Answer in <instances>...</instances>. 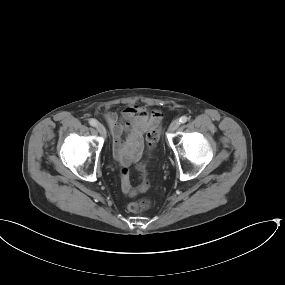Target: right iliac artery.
<instances>
[{"instance_id": "1", "label": "right iliac artery", "mask_w": 285, "mask_h": 285, "mask_svg": "<svg viewBox=\"0 0 285 285\" xmlns=\"http://www.w3.org/2000/svg\"><path fill=\"white\" fill-rule=\"evenodd\" d=\"M89 124H90L91 126H96V125L98 124V121L95 120V119H90V120H89Z\"/></svg>"}]
</instances>
